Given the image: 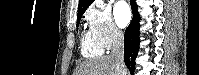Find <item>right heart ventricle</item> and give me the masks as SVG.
Returning a JSON list of instances; mask_svg holds the SVG:
<instances>
[{"instance_id": "obj_1", "label": "right heart ventricle", "mask_w": 199, "mask_h": 75, "mask_svg": "<svg viewBox=\"0 0 199 75\" xmlns=\"http://www.w3.org/2000/svg\"><path fill=\"white\" fill-rule=\"evenodd\" d=\"M82 53L86 57H98L102 55L103 48L96 41L91 31H86L82 35Z\"/></svg>"}]
</instances>
